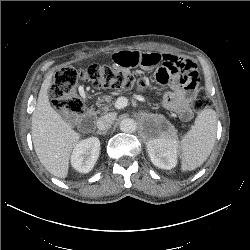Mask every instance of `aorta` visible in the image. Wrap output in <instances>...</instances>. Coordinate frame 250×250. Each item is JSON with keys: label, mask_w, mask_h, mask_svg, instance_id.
Listing matches in <instances>:
<instances>
[{"label": "aorta", "mask_w": 250, "mask_h": 250, "mask_svg": "<svg viewBox=\"0 0 250 250\" xmlns=\"http://www.w3.org/2000/svg\"><path fill=\"white\" fill-rule=\"evenodd\" d=\"M137 128L135 120L126 118L120 123V130L125 133H133Z\"/></svg>", "instance_id": "1"}]
</instances>
